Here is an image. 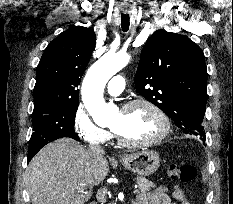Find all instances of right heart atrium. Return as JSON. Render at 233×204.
Wrapping results in <instances>:
<instances>
[{
    "mask_svg": "<svg viewBox=\"0 0 233 204\" xmlns=\"http://www.w3.org/2000/svg\"><path fill=\"white\" fill-rule=\"evenodd\" d=\"M73 128L76 135L88 144H103L111 134L98 126L83 105H78L73 117Z\"/></svg>",
    "mask_w": 233,
    "mask_h": 204,
    "instance_id": "obj_1",
    "label": "right heart atrium"
}]
</instances>
